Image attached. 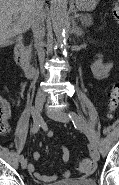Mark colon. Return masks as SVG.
Instances as JSON below:
<instances>
[{
	"label": "colon",
	"instance_id": "5ec220e1",
	"mask_svg": "<svg viewBox=\"0 0 119 185\" xmlns=\"http://www.w3.org/2000/svg\"><path fill=\"white\" fill-rule=\"evenodd\" d=\"M113 16L117 21H119V7L113 8ZM118 103H119V83H115L109 92L107 101L110 116H112V114L116 111ZM9 130H10L9 118L4 113L3 105L0 103V133L6 134L9 132ZM93 170L94 165L89 159L82 160L77 167V171L80 174L84 175L90 174Z\"/></svg>",
	"mask_w": 119,
	"mask_h": 185
}]
</instances>
